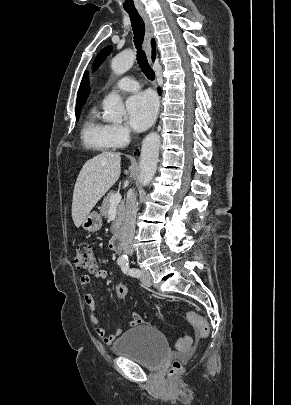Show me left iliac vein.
Returning <instances> with one entry per match:
<instances>
[{"mask_svg":"<svg viewBox=\"0 0 291 405\" xmlns=\"http://www.w3.org/2000/svg\"><path fill=\"white\" fill-rule=\"evenodd\" d=\"M140 280L147 287H150L152 285L151 275L149 271L145 269H141Z\"/></svg>","mask_w":291,"mask_h":405,"instance_id":"left-iliac-vein-1","label":"left iliac vein"}]
</instances>
